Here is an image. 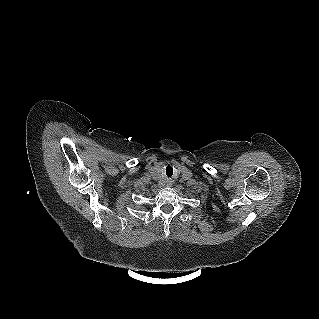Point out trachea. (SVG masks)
<instances>
[{"mask_svg": "<svg viewBox=\"0 0 319 319\" xmlns=\"http://www.w3.org/2000/svg\"><path fill=\"white\" fill-rule=\"evenodd\" d=\"M165 173H166V176L171 177V176L173 175V168H172V166L168 165V166L166 167Z\"/></svg>", "mask_w": 319, "mask_h": 319, "instance_id": "1", "label": "trachea"}]
</instances>
